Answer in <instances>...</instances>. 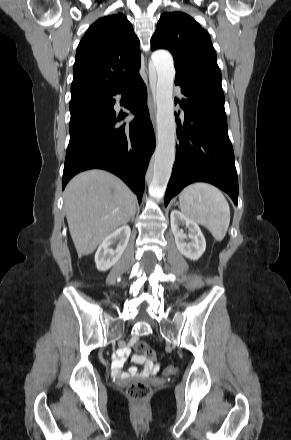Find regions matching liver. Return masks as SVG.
I'll use <instances>...</instances> for the list:
<instances>
[{
  "label": "liver",
  "instance_id": "obj_1",
  "mask_svg": "<svg viewBox=\"0 0 291 440\" xmlns=\"http://www.w3.org/2000/svg\"><path fill=\"white\" fill-rule=\"evenodd\" d=\"M136 196L115 175L98 169L76 175L64 191V208L78 257L97 246L136 212Z\"/></svg>",
  "mask_w": 291,
  "mask_h": 440
}]
</instances>
